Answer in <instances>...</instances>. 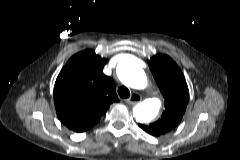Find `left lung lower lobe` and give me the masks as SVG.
I'll return each instance as SVG.
<instances>
[{
  "instance_id": "obj_1",
  "label": "left lung lower lobe",
  "mask_w": 240,
  "mask_h": 160,
  "mask_svg": "<svg viewBox=\"0 0 240 160\" xmlns=\"http://www.w3.org/2000/svg\"><path fill=\"white\" fill-rule=\"evenodd\" d=\"M141 126H142V129L145 130L146 132H148L149 134L154 135V136H159L154 131H152L150 128H148L147 126H145L143 124H141Z\"/></svg>"
}]
</instances>
